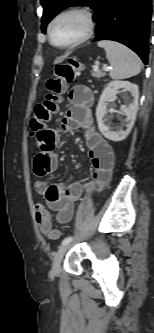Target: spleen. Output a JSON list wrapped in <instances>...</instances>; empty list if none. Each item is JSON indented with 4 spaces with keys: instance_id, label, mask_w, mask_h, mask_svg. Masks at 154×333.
Instances as JSON below:
<instances>
[{
    "instance_id": "3e777b00",
    "label": "spleen",
    "mask_w": 154,
    "mask_h": 333,
    "mask_svg": "<svg viewBox=\"0 0 154 333\" xmlns=\"http://www.w3.org/2000/svg\"><path fill=\"white\" fill-rule=\"evenodd\" d=\"M97 45L106 52L111 64L110 77L112 79H127L141 72V59L126 46L109 40H102Z\"/></svg>"
}]
</instances>
